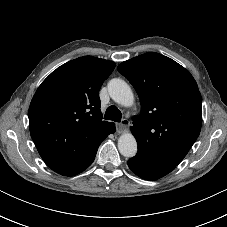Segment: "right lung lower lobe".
I'll return each instance as SVG.
<instances>
[{
  "mask_svg": "<svg viewBox=\"0 0 227 227\" xmlns=\"http://www.w3.org/2000/svg\"><path fill=\"white\" fill-rule=\"evenodd\" d=\"M115 132V125L111 128L109 134L111 133H114ZM95 159V155L88 161L86 162L82 167H80L77 171H75L72 175L70 176H73V175H76V174H79L81 173L82 171H84L87 167H89L91 165V163L94 161Z\"/></svg>",
  "mask_w": 227,
  "mask_h": 227,
  "instance_id": "right-lung-lower-lobe-1",
  "label": "right lung lower lobe"
}]
</instances>
